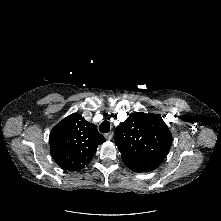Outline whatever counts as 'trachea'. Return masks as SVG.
I'll return each mask as SVG.
<instances>
[{"label": "trachea", "instance_id": "obj_1", "mask_svg": "<svg viewBox=\"0 0 221 221\" xmlns=\"http://www.w3.org/2000/svg\"><path fill=\"white\" fill-rule=\"evenodd\" d=\"M99 130L102 133H107L110 130V123L108 121H103L100 126H99Z\"/></svg>", "mask_w": 221, "mask_h": 221}]
</instances>
